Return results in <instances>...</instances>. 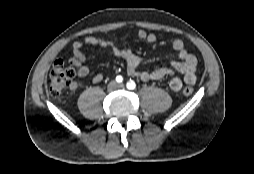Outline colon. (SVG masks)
<instances>
[{
  "label": "colon",
  "instance_id": "obj_1",
  "mask_svg": "<svg viewBox=\"0 0 254 174\" xmlns=\"http://www.w3.org/2000/svg\"><path fill=\"white\" fill-rule=\"evenodd\" d=\"M75 77V70L70 60L68 63L63 59H57L50 72V91L53 95H59L71 84ZM184 96H190L193 93L191 87H185L182 90Z\"/></svg>",
  "mask_w": 254,
  "mask_h": 174
}]
</instances>
